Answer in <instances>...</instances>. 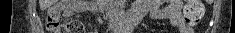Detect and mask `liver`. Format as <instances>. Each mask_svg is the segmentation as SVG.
Returning <instances> with one entry per match:
<instances>
[{
    "mask_svg": "<svg viewBox=\"0 0 235 33\" xmlns=\"http://www.w3.org/2000/svg\"><path fill=\"white\" fill-rule=\"evenodd\" d=\"M55 3V0H39V6L41 10H46Z\"/></svg>",
    "mask_w": 235,
    "mask_h": 33,
    "instance_id": "1",
    "label": "liver"
}]
</instances>
